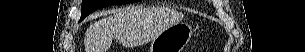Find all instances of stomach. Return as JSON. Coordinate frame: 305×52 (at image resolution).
Returning a JSON list of instances; mask_svg holds the SVG:
<instances>
[{
	"label": "stomach",
	"instance_id": "stomach-1",
	"mask_svg": "<svg viewBox=\"0 0 305 52\" xmlns=\"http://www.w3.org/2000/svg\"><path fill=\"white\" fill-rule=\"evenodd\" d=\"M192 34L193 29L190 24L186 22L174 24L151 41L149 52H182Z\"/></svg>",
	"mask_w": 305,
	"mask_h": 52
}]
</instances>
